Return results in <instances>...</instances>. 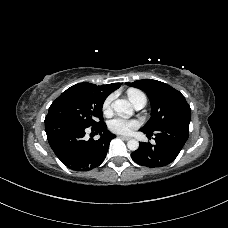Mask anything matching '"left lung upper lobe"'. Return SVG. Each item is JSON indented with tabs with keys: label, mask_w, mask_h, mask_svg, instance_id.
<instances>
[{
	"label": "left lung upper lobe",
	"mask_w": 228,
	"mask_h": 228,
	"mask_svg": "<svg viewBox=\"0 0 228 228\" xmlns=\"http://www.w3.org/2000/svg\"><path fill=\"white\" fill-rule=\"evenodd\" d=\"M126 84L145 91L151 101V118L141 130L156 132L169 124L190 122L191 109L185 97L168 84L149 79Z\"/></svg>",
	"instance_id": "obj_1"
}]
</instances>
